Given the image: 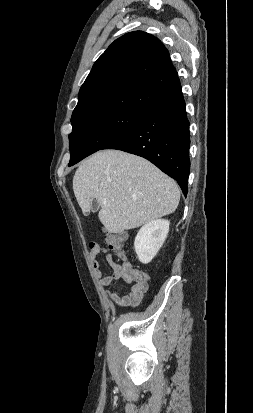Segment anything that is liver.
Masks as SVG:
<instances>
[{
  "label": "liver",
  "mask_w": 253,
  "mask_h": 413,
  "mask_svg": "<svg viewBox=\"0 0 253 413\" xmlns=\"http://www.w3.org/2000/svg\"><path fill=\"white\" fill-rule=\"evenodd\" d=\"M73 190L83 214L93 199L98 217L119 234L173 213L180 200L177 183L148 160L120 150H102L76 170Z\"/></svg>",
  "instance_id": "obj_1"
}]
</instances>
